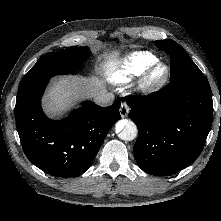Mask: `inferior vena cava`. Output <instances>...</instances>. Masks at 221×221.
Here are the masks:
<instances>
[{
  "mask_svg": "<svg viewBox=\"0 0 221 221\" xmlns=\"http://www.w3.org/2000/svg\"><path fill=\"white\" fill-rule=\"evenodd\" d=\"M94 101L99 106H109L114 102V95L112 93H103L95 97Z\"/></svg>",
  "mask_w": 221,
  "mask_h": 221,
  "instance_id": "obj_1",
  "label": "inferior vena cava"
}]
</instances>
